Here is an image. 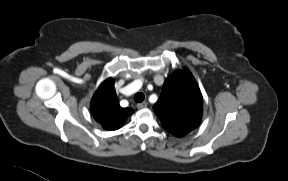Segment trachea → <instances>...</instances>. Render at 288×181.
Masks as SVG:
<instances>
[{"instance_id": "3493384b", "label": "trachea", "mask_w": 288, "mask_h": 181, "mask_svg": "<svg viewBox=\"0 0 288 181\" xmlns=\"http://www.w3.org/2000/svg\"><path fill=\"white\" fill-rule=\"evenodd\" d=\"M144 99H145V95L142 92H139V93L135 94V96H134V100L137 103L143 102Z\"/></svg>"}]
</instances>
